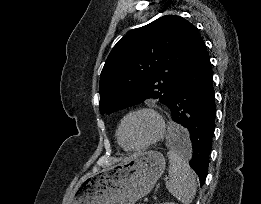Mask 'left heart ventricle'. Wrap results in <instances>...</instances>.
Segmentation results:
<instances>
[{"label": "left heart ventricle", "mask_w": 261, "mask_h": 204, "mask_svg": "<svg viewBox=\"0 0 261 204\" xmlns=\"http://www.w3.org/2000/svg\"><path fill=\"white\" fill-rule=\"evenodd\" d=\"M157 130L155 120L146 114L131 117L122 129V140L128 146L140 145L154 136Z\"/></svg>", "instance_id": "obj_1"}]
</instances>
